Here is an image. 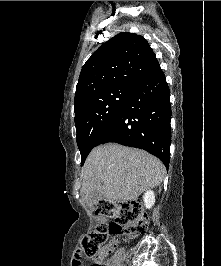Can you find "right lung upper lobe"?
I'll use <instances>...</instances> for the list:
<instances>
[{"label": "right lung upper lobe", "mask_w": 221, "mask_h": 266, "mask_svg": "<svg viewBox=\"0 0 221 266\" xmlns=\"http://www.w3.org/2000/svg\"><path fill=\"white\" fill-rule=\"evenodd\" d=\"M160 68L143 36L122 32L102 44L84 64L75 93V109L86 96L115 86L135 87Z\"/></svg>", "instance_id": "obj_1"}]
</instances>
